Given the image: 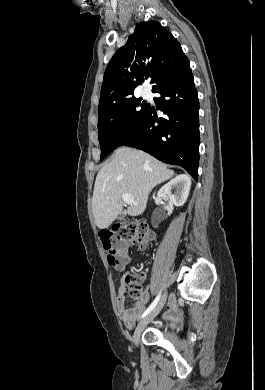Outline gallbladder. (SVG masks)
Here are the masks:
<instances>
[{
  "instance_id": "1",
  "label": "gallbladder",
  "mask_w": 265,
  "mask_h": 390,
  "mask_svg": "<svg viewBox=\"0 0 265 390\" xmlns=\"http://www.w3.org/2000/svg\"><path fill=\"white\" fill-rule=\"evenodd\" d=\"M125 216H126V212H125V211H122V212L119 214V216H118V220H119V221H122V220L125 218Z\"/></svg>"
}]
</instances>
